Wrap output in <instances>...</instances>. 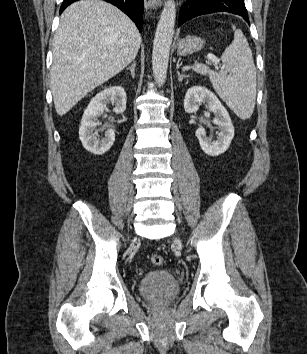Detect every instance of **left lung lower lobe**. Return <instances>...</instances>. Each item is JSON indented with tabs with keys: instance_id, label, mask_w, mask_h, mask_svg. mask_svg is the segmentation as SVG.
Wrapping results in <instances>:
<instances>
[{
	"instance_id": "left-lung-lower-lobe-1",
	"label": "left lung lower lobe",
	"mask_w": 307,
	"mask_h": 354,
	"mask_svg": "<svg viewBox=\"0 0 307 354\" xmlns=\"http://www.w3.org/2000/svg\"><path fill=\"white\" fill-rule=\"evenodd\" d=\"M214 12L237 14L250 25L244 0H186L181 7L178 26L194 17Z\"/></svg>"
}]
</instances>
